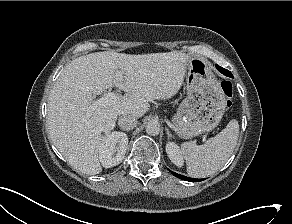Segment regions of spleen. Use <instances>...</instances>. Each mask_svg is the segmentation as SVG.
<instances>
[{
    "label": "spleen",
    "instance_id": "3e777b00",
    "mask_svg": "<svg viewBox=\"0 0 292 224\" xmlns=\"http://www.w3.org/2000/svg\"><path fill=\"white\" fill-rule=\"evenodd\" d=\"M238 137L239 124L233 119L225 129L203 145L183 143L181 149L186 159L188 175L205 178L220 170L233 153Z\"/></svg>",
    "mask_w": 292,
    "mask_h": 224
}]
</instances>
